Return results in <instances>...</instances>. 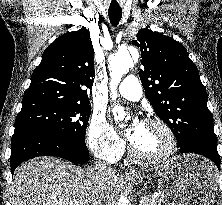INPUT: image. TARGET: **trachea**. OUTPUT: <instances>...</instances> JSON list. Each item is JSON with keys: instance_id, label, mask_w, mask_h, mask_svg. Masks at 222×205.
<instances>
[{"instance_id": "3493384b", "label": "trachea", "mask_w": 222, "mask_h": 205, "mask_svg": "<svg viewBox=\"0 0 222 205\" xmlns=\"http://www.w3.org/2000/svg\"><path fill=\"white\" fill-rule=\"evenodd\" d=\"M108 16L113 26H117L122 17V9L120 7H109Z\"/></svg>"}]
</instances>
